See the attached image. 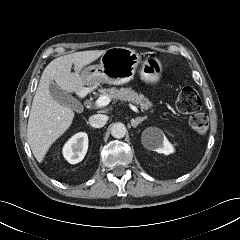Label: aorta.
Listing matches in <instances>:
<instances>
[{
  "mask_svg": "<svg viewBox=\"0 0 240 240\" xmlns=\"http://www.w3.org/2000/svg\"><path fill=\"white\" fill-rule=\"evenodd\" d=\"M126 127L123 123H120V122H117V123H114L111 127V135L114 137V138H123L126 134Z\"/></svg>",
  "mask_w": 240,
  "mask_h": 240,
  "instance_id": "1",
  "label": "aorta"
}]
</instances>
